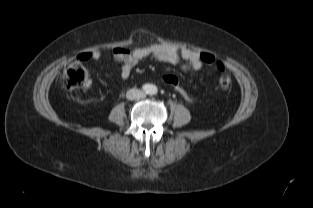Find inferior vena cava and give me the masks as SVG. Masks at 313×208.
<instances>
[{
  "instance_id": "1",
  "label": "inferior vena cava",
  "mask_w": 313,
  "mask_h": 208,
  "mask_svg": "<svg viewBox=\"0 0 313 208\" xmlns=\"http://www.w3.org/2000/svg\"><path fill=\"white\" fill-rule=\"evenodd\" d=\"M126 97L130 100L141 99L145 97V93L138 89H131L127 91Z\"/></svg>"
}]
</instances>
